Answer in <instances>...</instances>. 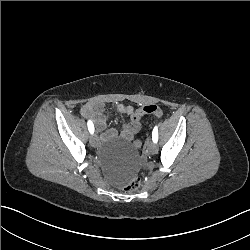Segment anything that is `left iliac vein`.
<instances>
[{
	"instance_id": "left-iliac-vein-1",
	"label": "left iliac vein",
	"mask_w": 250,
	"mask_h": 250,
	"mask_svg": "<svg viewBox=\"0 0 250 250\" xmlns=\"http://www.w3.org/2000/svg\"><path fill=\"white\" fill-rule=\"evenodd\" d=\"M157 149H158V148H157L156 143H154V142H152V141L148 142V144H147V150H148L150 153H152V154L156 153Z\"/></svg>"
}]
</instances>
